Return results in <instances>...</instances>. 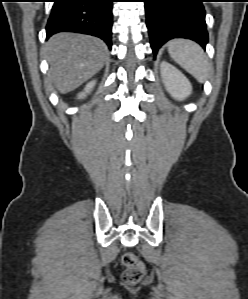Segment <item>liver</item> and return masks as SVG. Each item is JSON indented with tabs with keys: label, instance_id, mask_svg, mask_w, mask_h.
I'll return each instance as SVG.
<instances>
[{
	"label": "liver",
	"instance_id": "1",
	"mask_svg": "<svg viewBox=\"0 0 248 299\" xmlns=\"http://www.w3.org/2000/svg\"><path fill=\"white\" fill-rule=\"evenodd\" d=\"M48 76L60 93H68L95 75L104 64L106 44L89 35L58 33L46 44Z\"/></svg>",
	"mask_w": 248,
	"mask_h": 299
}]
</instances>
